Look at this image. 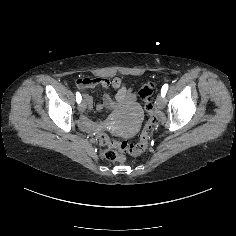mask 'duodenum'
<instances>
[{
    "mask_svg": "<svg viewBox=\"0 0 236 236\" xmlns=\"http://www.w3.org/2000/svg\"><path fill=\"white\" fill-rule=\"evenodd\" d=\"M129 97L130 95L126 94V91L122 89L116 96V102L112 101L109 97H106L104 99V105L110 109H117L129 103ZM87 104L90 106L89 100L87 101ZM81 124L86 130H95L100 126V124L94 123L87 118H82Z\"/></svg>",
    "mask_w": 236,
    "mask_h": 236,
    "instance_id": "duodenum-1",
    "label": "duodenum"
}]
</instances>
